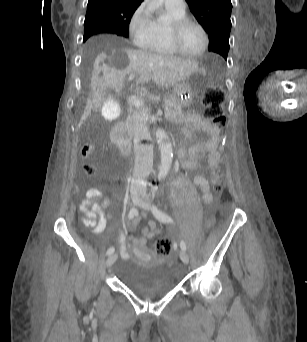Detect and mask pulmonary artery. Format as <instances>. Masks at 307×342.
I'll return each instance as SVG.
<instances>
[{"mask_svg":"<svg viewBox=\"0 0 307 342\" xmlns=\"http://www.w3.org/2000/svg\"><path fill=\"white\" fill-rule=\"evenodd\" d=\"M169 12L184 13L186 1H161Z\"/></svg>","mask_w":307,"mask_h":342,"instance_id":"obj_1","label":"pulmonary artery"}]
</instances>
